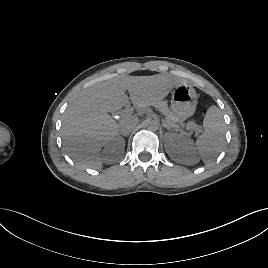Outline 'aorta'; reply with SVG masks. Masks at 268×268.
Returning <instances> with one entry per match:
<instances>
[{"label":"aorta","mask_w":268,"mask_h":268,"mask_svg":"<svg viewBox=\"0 0 268 268\" xmlns=\"http://www.w3.org/2000/svg\"><path fill=\"white\" fill-rule=\"evenodd\" d=\"M146 127L151 131H157L160 127V123L156 119H148L146 121Z\"/></svg>","instance_id":"1"}]
</instances>
